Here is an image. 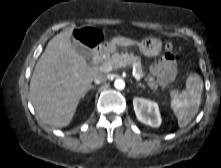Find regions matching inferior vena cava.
Returning a JSON list of instances; mask_svg holds the SVG:
<instances>
[{"label": "inferior vena cava", "mask_w": 221, "mask_h": 168, "mask_svg": "<svg viewBox=\"0 0 221 168\" xmlns=\"http://www.w3.org/2000/svg\"><path fill=\"white\" fill-rule=\"evenodd\" d=\"M107 80V76L106 74H103V73H100L98 74L95 78H94V82L96 84H100V83H103Z\"/></svg>", "instance_id": "602c4592"}]
</instances>
